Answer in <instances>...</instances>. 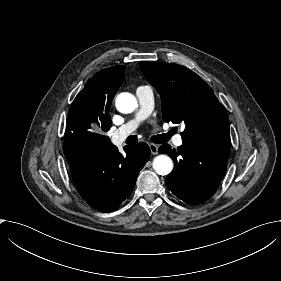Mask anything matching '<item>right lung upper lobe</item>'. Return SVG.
Wrapping results in <instances>:
<instances>
[{
	"label": "right lung upper lobe",
	"mask_w": 281,
	"mask_h": 281,
	"mask_svg": "<svg viewBox=\"0 0 281 281\" xmlns=\"http://www.w3.org/2000/svg\"><path fill=\"white\" fill-rule=\"evenodd\" d=\"M124 73V65L114 66L97 72L87 81L69 109L65 136L99 134L100 130H109V108L123 82Z\"/></svg>",
	"instance_id": "1"
}]
</instances>
